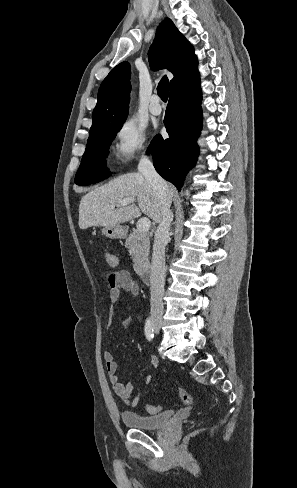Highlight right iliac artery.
I'll list each match as a JSON object with an SVG mask.
<instances>
[{
    "mask_svg": "<svg viewBox=\"0 0 297 488\" xmlns=\"http://www.w3.org/2000/svg\"><path fill=\"white\" fill-rule=\"evenodd\" d=\"M144 330H145L146 338L149 341H151L153 339V336H154V328H153V322L151 321L150 318H148L146 320Z\"/></svg>",
    "mask_w": 297,
    "mask_h": 488,
    "instance_id": "1",
    "label": "right iliac artery"
}]
</instances>
